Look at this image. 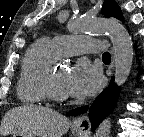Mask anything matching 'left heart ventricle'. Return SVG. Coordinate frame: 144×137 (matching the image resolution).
<instances>
[{"mask_svg":"<svg viewBox=\"0 0 144 137\" xmlns=\"http://www.w3.org/2000/svg\"><path fill=\"white\" fill-rule=\"evenodd\" d=\"M68 75L69 71L64 68L55 69V82L59 90L62 91L63 93H66L65 83Z\"/></svg>","mask_w":144,"mask_h":137,"instance_id":"obj_1","label":"left heart ventricle"}]
</instances>
